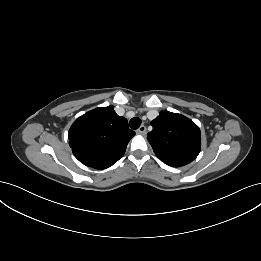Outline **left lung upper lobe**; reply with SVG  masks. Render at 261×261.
Masks as SVG:
<instances>
[{
    "instance_id": "obj_1",
    "label": "left lung upper lobe",
    "mask_w": 261,
    "mask_h": 261,
    "mask_svg": "<svg viewBox=\"0 0 261 261\" xmlns=\"http://www.w3.org/2000/svg\"><path fill=\"white\" fill-rule=\"evenodd\" d=\"M153 130L147 134L156 156L172 167L184 166L200 152L201 132L189 118L162 111L151 121Z\"/></svg>"
}]
</instances>
